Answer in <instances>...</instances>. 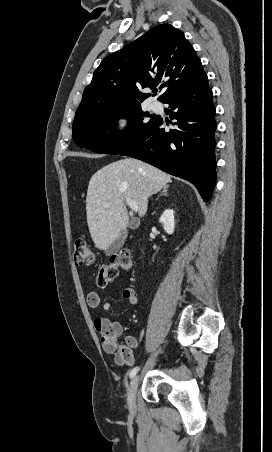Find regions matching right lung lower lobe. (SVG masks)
Instances as JSON below:
<instances>
[{"instance_id":"right-lung-lower-lobe-1","label":"right lung lower lobe","mask_w":272,"mask_h":452,"mask_svg":"<svg viewBox=\"0 0 272 452\" xmlns=\"http://www.w3.org/2000/svg\"><path fill=\"white\" fill-rule=\"evenodd\" d=\"M208 78L190 86L163 103L176 120V128L165 131L163 120L155 122L142 137L119 155L137 158L164 172L191 182L208 202L215 186V107Z\"/></svg>"}]
</instances>
